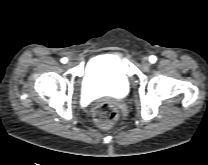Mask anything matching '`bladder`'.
<instances>
[{
	"instance_id": "bladder-1",
	"label": "bladder",
	"mask_w": 208,
	"mask_h": 165,
	"mask_svg": "<svg viewBox=\"0 0 208 165\" xmlns=\"http://www.w3.org/2000/svg\"><path fill=\"white\" fill-rule=\"evenodd\" d=\"M129 87V76L118 56L98 55L88 62L83 76V91L88 97L121 98L128 93Z\"/></svg>"
}]
</instances>
